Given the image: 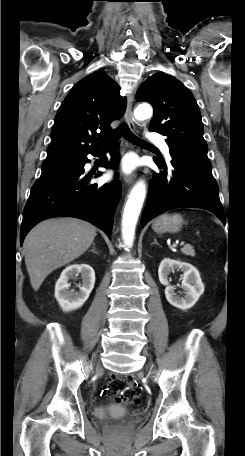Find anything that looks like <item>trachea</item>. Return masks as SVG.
<instances>
[{"label":"trachea","mask_w":245,"mask_h":456,"mask_svg":"<svg viewBox=\"0 0 245 456\" xmlns=\"http://www.w3.org/2000/svg\"><path fill=\"white\" fill-rule=\"evenodd\" d=\"M121 134H123V137L125 139L129 140L130 142H132L133 144H136V145H150V143H148V142L144 141L143 139H141V138L137 137L136 135H134L127 125L121 126L110 137V139L113 138V140H114L117 137H119Z\"/></svg>","instance_id":"3493384b"}]
</instances>
